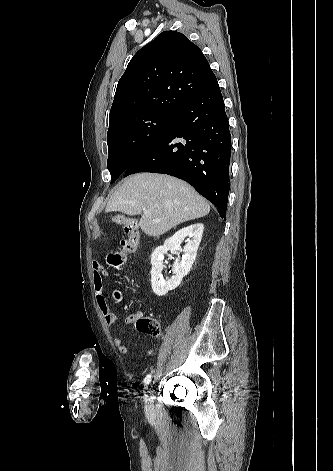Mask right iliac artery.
I'll return each instance as SVG.
<instances>
[{
  "label": "right iliac artery",
  "mask_w": 333,
  "mask_h": 471,
  "mask_svg": "<svg viewBox=\"0 0 333 471\" xmlns=\"http://www.w3.org/2000/svg\"><path fill=\"white\" fill-rule=\"evenodd\" d=\"M144 389H147L149 383L151 382V375L148 374L145 378H144Z\"/></svg>",
  "instance_id": "right-iliac-artery-1"
}]
</instances>
